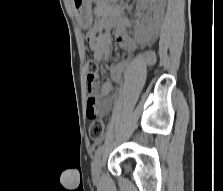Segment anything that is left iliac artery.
I'll return each mask as SVG.
<instances>
[{
    "instance_id": "obj_1",
    "label": "left iliac artery",
    "mask_w": 223,
    "mask_h": 191,
    "mask_svg": "<svg viewBox=\"0 0 223 191\" xmlns=\"http://www.w3.org/2000/svg\"><path fill=\"white\" fill-rule=\"evenodd\" d=\"M104 150V145H100L96 150H95V154H94V158L99 159L103 153Z\"/></svg>"
}]
</instances>
